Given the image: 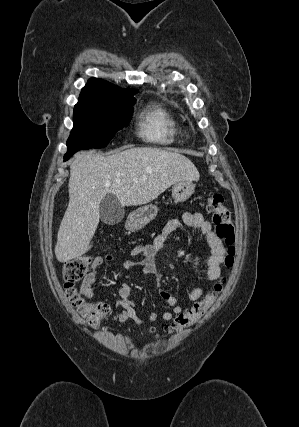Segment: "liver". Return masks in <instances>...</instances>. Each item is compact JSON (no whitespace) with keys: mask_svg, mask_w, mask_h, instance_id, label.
I'll list each match as a JSON object with an SVG mask.
<instances>
[{"mask_svg":"<svg viewBox=\"0 0 299 427\" xmlns=\"http://www.w3.org/2000/svg\"><path fill=\"white\" fill-rule=\"evenodd\" d=\"M199 177L186 156L158 148H130L105 157L91 151L77 153L70 165L69 204L57 234V260L64 263L90 249L99 205L107 194L115 195L123 207L137 206L153 201L177 182Z\"/></svg>","mask_w":299,"mask_h":427,"instance_id":"liver-1","label":"liver"}]
</instances>
